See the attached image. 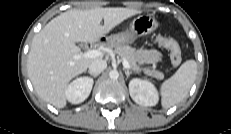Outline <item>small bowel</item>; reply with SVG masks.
Returning <instances> with one entry per match:
<instances>
[{"mask_svg":"<svg viewBox=\"0 0 231 134\" xmlns=\"http://www.w3.org/2000/svg\"><path fill=\"white\" fill-rule=\"evenodd\" d=\"M161 59V53L156 49H142L138 52V60L143 64H155Z\"/></svg>","mask_w":231,"mask_h":134,"instance_id":"1","label":"small bowel"}]
</instances>
